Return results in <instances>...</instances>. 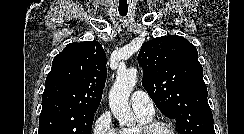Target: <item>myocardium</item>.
I'll list each match as a JSON object with an SVG mask.
<instances>
[{"label": "myocardium", "instance_id": "f54148a6", "mask_svg": "<svg viewBox=\"0 0 244 134\" xmlns=\"http://www.w3.org/2000/svg\"><path fill=\"white\" fill-rule=\"evenodd\" d=\"M160 127L168 129L171 134H179L171 123L162 120H151L140 125L137 134H154L155 130Z\"/></svg>", "mask_w": 244, "mask_h": 134}]
</instances>
